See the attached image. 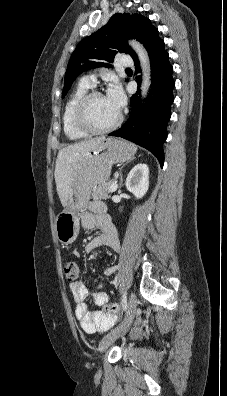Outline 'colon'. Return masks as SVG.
<instances>
[{"label":"colon","mask_w":227,"mask_h":396,"mask_svg":"<svg viewBox=\"0 0 227 396\" xmlns=\"http://www.w3.org/2000/svg\"><path fill=\"white\" fill-rule=\"evenodd\" d=\"M65 277L68 281L73 282L78 278V266L74 260H66L63 264ZM106 313H118L119 306L116 303L106 304L103 308Z\"/></svg>","instance_id":"1"}]
</instances>
